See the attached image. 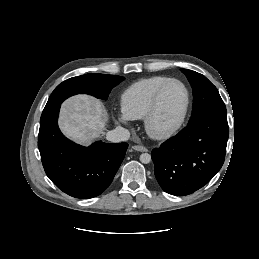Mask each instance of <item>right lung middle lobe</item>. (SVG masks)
<instances>
[{
  "label": "right lung middle lobe",
  "instance_id": "1",
  "mask_svg": "<svg viewBox=\"0 0 259 259\" xmlns=\"http://www.w3.org/2000/svg\"><path fill=\"white\" fill-rule=\"evenodd\" d=\"M123 80L124 77L107 74H85L72 77L55 88L44 110L61 105L65 99L75 94H89L107 99L111 89Z\"/></svg>",
  "mask_w": 259,
  "mask_h": 259
}]
</instances>
